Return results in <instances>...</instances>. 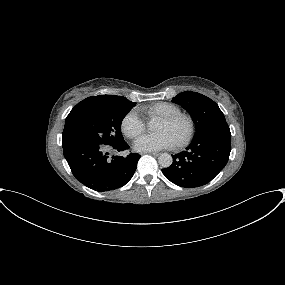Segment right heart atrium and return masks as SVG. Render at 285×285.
<instances>
[{
  "label": "right heart atrium",
  "instance_id": "right-heart-atrium-1",
  "mask_svg": "<svg viewBox=\"0 0 285 285\" xmlns=\"http://www.w3.org/2000/svg\"><path fill=\"white\" fill-rule=\"evenodd\" d=\"M121 128L125 136L128 138H135L144 131L145 125L137 111L133 109L130 110L122 119Z\"/></svg>",
  "mask_w": 285,
  "mask_h": 285
}]
</instances>
